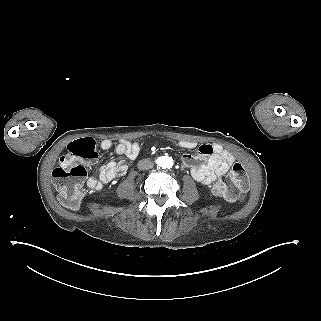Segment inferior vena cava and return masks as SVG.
<instances>
[{
	"label": "inferior vena cava",
	"instance_id": "602c4592",
	"mask_svg": "<svg viewBox=\"0 0 321 321\" xmlns=\"http://www.w3.org/2000/svg\"><path fill=\"white\" fill-rule=\"evenodd\" d=\"M153 166H154L153 162L147 159L140 160L137 165L139 170H148L153 168Z\"/></svg>",
	"mask_w": 321,
	"mask_h": 321
}]
</instances>
